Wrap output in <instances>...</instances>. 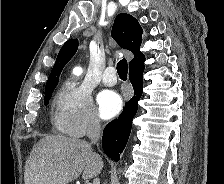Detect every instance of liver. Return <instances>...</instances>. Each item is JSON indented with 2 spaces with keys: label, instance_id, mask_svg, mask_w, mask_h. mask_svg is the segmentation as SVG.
<instances>
[{
  "label": "liver",
  "instance_id": "obj_1",
  "mask_svg": "<svg viewBox=\"0 0 224 184\" xmlns=\"http://www.w3.org/2000/svg\"><path fill=\"white\" fill-rule=\"evenodd\" d=\"M100 155L84 140L64 135H47L33 148L26 162L25 184H68L82 173L84 180L99 175Z\"/></svg>",
  "mask_w": 224,
  "mask_h": 184
}]
</instances>
